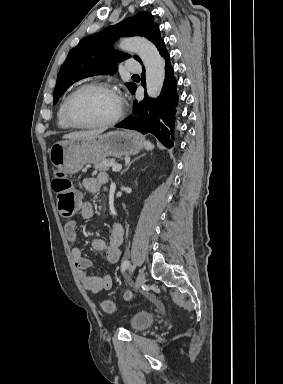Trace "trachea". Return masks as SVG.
<instances>
[{"mask_svg":"<svg viewBox=\"0 0 283 384\" xmlns=\"http://www.w3.org/2000/svg\"><path fill=\"white\" fill-rule=\"evenodd\" d=\"M137 76V74H135V75H132V77H136Z\"/></svg>","mask_w":283,"mask_h":384,"instance_id":"3493384b","label":"trachea"}]
</instances>
